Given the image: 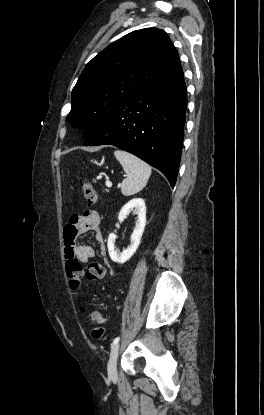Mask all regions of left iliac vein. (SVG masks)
I'll use <instances>...</instances> for the list:
<instances>
[{"label":"left iliac vein","mask_w":264,"mask_h":415,"mask_svg":"<svg viewBox=\"0 0 264 415\" xmlns=\"http://www.w3.org/2000/svg\"><path fill=\"white\" fill-rule=\"evenodd\" d=\"M119 352V344L117 343L112 347L110 353V359L108 362V376L111 379H115L117 377V356Z\"/></svg>","instance_id":"left-iliac-vein-1"}]
</instances>
